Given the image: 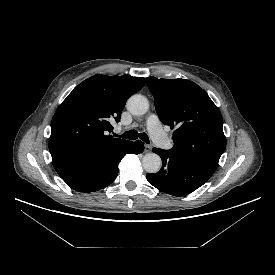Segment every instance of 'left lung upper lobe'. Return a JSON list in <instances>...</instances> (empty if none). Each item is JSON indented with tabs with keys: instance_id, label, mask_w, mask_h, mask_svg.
<instances>
[{
	"instance_id": "left-lung-upper-lobe-1",
	"label": "left lung upper lobe",
	"mask_w": 275,
	"mask_h": 275,
	"mask_svg": "<svg viewBox=\"0 0 275 275\" xmlns=\"http://www.w3.org/2000/svg\"><path fill=\"white\" fill-rule=\"evenodd\" d=\"M159 119L173 132V154L210 176L226 147L223 119L217 106L197 84L185 79L149 77Z\"/></svg>"
}]
</instances>
